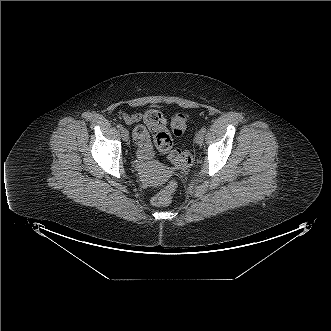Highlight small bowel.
<instances>
[{"instance_id": "c3829d8e", "label": "small bowel", "mask_w": 331, "mask_h": 331, "mask_svg": "<svg viewBox=\"0 0 331 331\" xmlns=\"http://www.w3.org/2000/svg\"><path fill=\"white\" fill-rule=\"evenodd\" d=\"M142 113H133V114H124L123 118L124 121L131 125L138 123L143 120ZM140 126V125H139ZM133 138L135 143L138 145V157L142 162H148L153 157V150L151 143L149 141V136L145 138H140L136 133L135 130L133 132Z\"/></svg>"}]
</instances>
